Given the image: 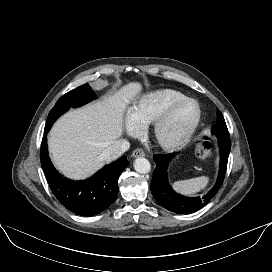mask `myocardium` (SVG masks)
Returning a JSON list of instances; mask_svg holds the SVG:
<instances>
[{
  "label": "myocardium",
  "instance_id": "myocardium-1",
  "mask_svg": "<svg viewBox=\"0 0 272 272\" xmlns=\"http://www.w3.org/2000/svg\"><path fill=\"white\" fill-rule=\"evenodd\" d=\"M185 103H193L196 106V117L189 127V129L179 138L176 139H164L161 135L162 129L165 126L166 122L169 120L170 116L173 114V112L181 105ZM201 108L199 103L189 97H185L182 99H179L177 101H174L171 103L153 122L152 124V138L154 142L162 149L167 151H173L177 150L183 146H185L193 137L195 134L200 121H201Z\"/></svg>",
  "mask_w": 272,
  "mask_h": 272
}]
</instances>
